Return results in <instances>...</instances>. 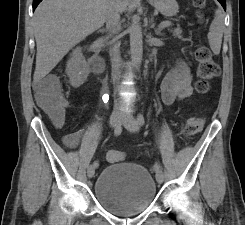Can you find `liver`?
I'll return each instance as SVG.
<instances>
[{
  "instance_id": "6515ba94",
  "label": "liver",
  "mask_w": 245,
  "mask_h": 225,
  "mask_svg": "<svg viewBox=\"0 0 245 225\" xmlns=\"http://www.w3.org/2000/svg\"><path fill=\"white\" fill-rule=\"evenodd\" d=\"M109 0H43L34 13L37 45L34 81L45 77L69 50L103 26ZM129 0H118L120 11Z\"/></svg>"
}]
</instances>
